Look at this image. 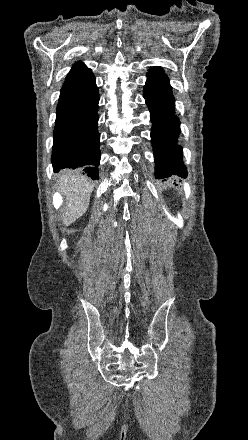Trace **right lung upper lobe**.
Returning <instances> with one entry per match:
<instances>
[{"label": "right lung upper lobe", "instance_id": "right-lung-upper-lobe-1", "mask_svg": "<svg viewBox=\"0 0 248 440\" xmlns=\"http://www.w3.org/2000/svg\"><path fill=\"white\" fill-rule=\"evenodd\" d=\"M93 79L95 78L91 69L87 68L82 62H77L67 75L61 91L80 87Z\"/></svg>", "mask_w": 248, "mask_h": 440}]
</instances>
